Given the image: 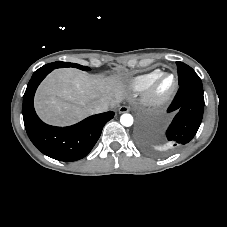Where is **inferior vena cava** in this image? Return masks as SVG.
Here are the masks:
<instances>
[{
	"mask_svg": "<svg viewBox=\"0 0 227 227\" xmlns=\"http://www.w3.org/2000/svg\"><path fill=\"white\" fill-rule=\"evenodd\" d=\"M109 108V103L106 101H100L93 105V112L94 113H102L106 112Z\"/></svg>",
	"mask_w": 227,
	"mask_h": 227,
	"instance_id": "obj_1",
	"label": "inferior vena cava"
}]
</instances>
